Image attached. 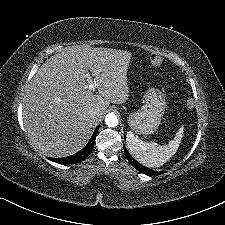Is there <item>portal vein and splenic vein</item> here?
<instances>
[{
	"instance_id": "portal-vein-and-splenic-vein-1",
	"label": "portal vein and splenic vein",
	"mask_w": 225,
	"mask_h": 225,
	"mask_svg": "<svg viewBox=\"0 0 225 225\" xmlns=\"http://www.w3.org/2000/svg\"><path fill=\"white\" fill-rule=\"evenodd\" d=\"M86 76L88 77V79H89V84H88V89L89 90H94L95 88H96V85L93 83V81H92V75H89V74H86Z\"/></svg>"
}]
</instances>
